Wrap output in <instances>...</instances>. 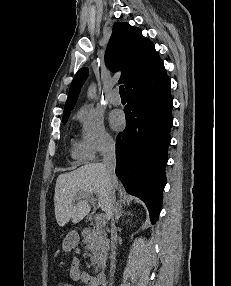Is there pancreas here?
<instances>
[{
    "label": "pancreas",
    "mask_w": 231,
    "mask_h": 286,
    "mask_svg": "<svg viewBox=\"0 0 231 286\" xmlns=\"http://www.w3.org/2000/svg\"><path fill=\"white\" fill-rule=\"evenodd\" d=\"M83 243L86 245L85 250L91 254V266L95 271L98 268L104 267L107 258V251L109 247V241L106 237V232L103 228H85L82 231Z\"/></svg>",
    "instance_id": "pancreas-1"
}]
</instances>
